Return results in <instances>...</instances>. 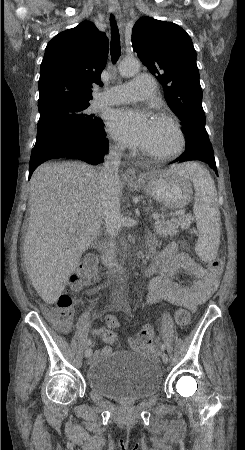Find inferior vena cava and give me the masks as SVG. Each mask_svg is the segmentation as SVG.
Masks as SVG:
<instances>
[{
	"label": "inferior vena cava",
	"instance_id": "1",
	"mask_svg": "<svg viewBox=\"0 0 245 450\" xmlns=\"http://www.w3.org/2000/svg\"><path fill=\"white\" fill-rule=\"evenodd\" d=\"M122 151V146H115L110 149L109 154L104 158V167L98 177L106 233L112 238L118 236L121 228L118 168L121 163Z\"/></svg>",
	"mask_w": 245,
	"mask_h": 450
}]
</instances>
